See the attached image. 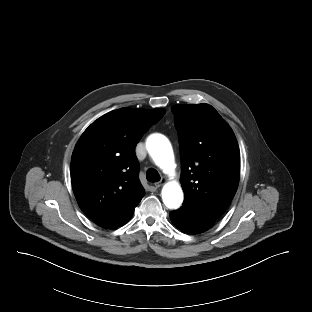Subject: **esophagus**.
<instances>
[{
    "label": "esophagus",
    "mask_w": 312,
    "mask_h": 312,
    "mask_svg": "<svg viewBox=\"0 0 312 312\" xmlns=\"http://www.w3.org/2000/svg\"><path fill=\"white\" fill-rule=\"evenodd\" d=\"M166 182V179L165 178H162L159 182H156L154 185L156 188H159L161 187L162 185H164Z\"/></svg>",
    "instance_id": "esophagus-1"
}]
</instances>
